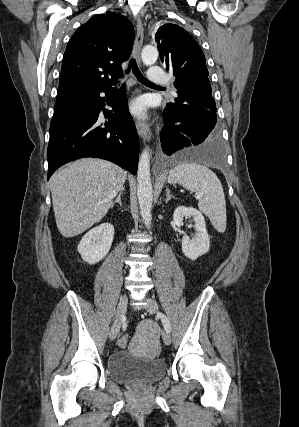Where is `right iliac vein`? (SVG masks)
Returning a JSON list of instances; mask_svg holds the SVG:
<instances>
[{
    "label": "right iliac vein",
    "instance_id": "obj_1",
    "mask_svg": "<svg viewBox=\"0 0 299 427\" xmlns=\"http://www.w3.org/2000/svg\"><path fill=\"white\" fill-rule=\"evenodd\" d=\"M127 304H128L127 295L123 294L120 298L119 303H118L117 312H116V319H115L114 325L111 328V331L109 334L110 340L116 339V337L119 334L120 327H121V319L126 312Z\"/></svg>",
    "mask_w": 299,
    "mask_h": 427
}]
</instances>
